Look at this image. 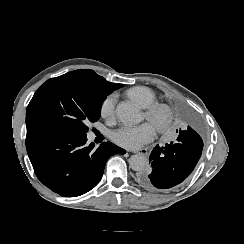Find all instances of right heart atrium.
Segmentation results:
<instances>
[{
    "label": "right heart atrium",
    "mask_w": 244,
    "mask_h": 244,
    "mask_svg": "<svg viewBox=\"0 0 244 244\" xmlns=\"http://www.w3.org/2000/svg\"><path fill=\"white\" fill-rule=\"evenodd\" d=\"M117 103V94H109L103 101L101 106V116L106 120H111L115 113V105Z\"/></svg>",
    "instance_id": "d8ad5b80"
}]
</instances>
